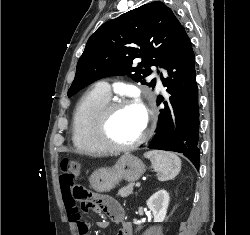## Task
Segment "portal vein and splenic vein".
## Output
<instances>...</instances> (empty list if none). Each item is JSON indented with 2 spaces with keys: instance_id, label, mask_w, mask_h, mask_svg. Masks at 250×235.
I'll return each instance as SVG.
<instances>
[{
  "instance_id": "1",
  "label": "portal vein and splenic vein",
  "mask_w": 250,
  "mask_h": 235,
  "mask_svg": "<svg viewBox=\"0 0 250 235\" xmlns=\"http://www.w3.org/2000/svg\"><path fill=\"white\" fill-rule=\"evenodd\" d=\"M136 187L137 188L140 187V183L139 182L136 183Z\"/></svg>"
}]
</instances>
